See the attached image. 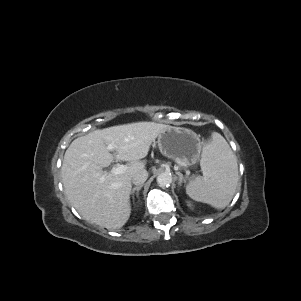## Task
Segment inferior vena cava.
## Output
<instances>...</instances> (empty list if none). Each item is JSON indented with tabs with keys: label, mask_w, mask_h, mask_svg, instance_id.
Segmentation results:
<instances>
[{
	"label": "inferior vena cava",
	"mask_w": 301,
	"mask_h": 301,
	"mask_svg": "<svg viewBox=\"0 0 301 301\" xmlns=\"http://www.w3.org/2000/svg\"><path fill=\"white\" fill-rule=\"evenodd\" d=\"M148 178V172L145 169L138 170L132 177V183L139 186Z\"/></svg>",
	"instance_id": "602c4592"
}]
</instances>
